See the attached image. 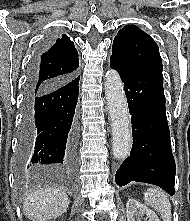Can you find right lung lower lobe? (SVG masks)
Masks as SVG:
<instances>
[{
    "label": "right lung lower lobe",
    "mask_w": 190,
    "mask_h": 221,
    "mask_svg": "<svg viewBox=\"0 0 190 221\" xmlns=\"http://www.w3.org/2000/svg\"><path fill=\"white\" fill-rule=\"evenodd\" d=\"M30 74L23 101L18 167L37 171L43 165L72 168L76 160L78 128L75 107L79 76L45 87H34Z\"/></svg>",
    "instance_id": "1"
}]
</instances>
